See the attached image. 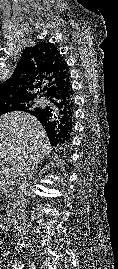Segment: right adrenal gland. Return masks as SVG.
Here are the masks:
<instances>
[{"label": "right adrenal gland", "mask_w": 118, "mask_h": 269, "mask_svg": "<svg viewBox=\"0 0 118 269\" xmlns=\"http://www.w3.org/2000/svg\"><path fill=\"white\" fill-rule=\"evenodd\" d=\"M37 169V165H35L33 168H32V175L35 173V170Z\"/></svg>", "instance_id": "2a0ac1e0"}]
</instances>
